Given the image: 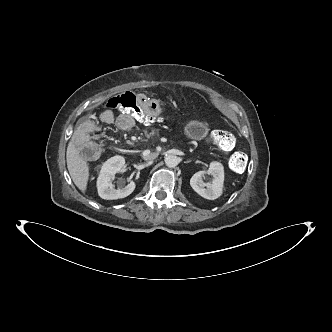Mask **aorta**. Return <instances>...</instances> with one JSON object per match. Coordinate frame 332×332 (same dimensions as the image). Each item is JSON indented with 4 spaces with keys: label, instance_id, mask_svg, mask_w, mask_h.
<instances>
[{
    "label": "aorta",
    "instance_id": "1",
    "mask_svg": "<svg viewBox=\"0 0 332 332\" xmlns=\"http://www.w3.org/2000/svg\"><path fill=\"white\" fill-rule=\"evenodd\" d=\"M179 163V159L177 156L175 155H167L165 157V164L166 166H168L169 168H174L178 165Z\"/></svg>",
    "mask_w": 332,
    "mask_h": 332
}]
</instances>
